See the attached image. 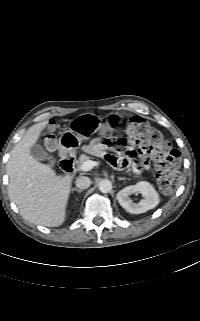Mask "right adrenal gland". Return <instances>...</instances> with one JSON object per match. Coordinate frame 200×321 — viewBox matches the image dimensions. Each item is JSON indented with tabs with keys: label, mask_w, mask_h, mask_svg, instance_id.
Returning a JSON list of instances; mask_svg holds the SVG:
<instances>
[{
	"label": "right adrenal gland",
	"mask_w": 200,
	"mask_h": 321,
	"mask_svg": "<svg viewBox=\"0 0 200 321\" xmlns=\"http://www.w3.org/2000/svg\"><path fill=\"white\" fill-rule=\"evenodd\" d=\"M74 191H77V192L81 193L83 190L82 189H77V188H72V192H74Z\"/></svg>",
	"instance_id": "1"
}]
</instances>
